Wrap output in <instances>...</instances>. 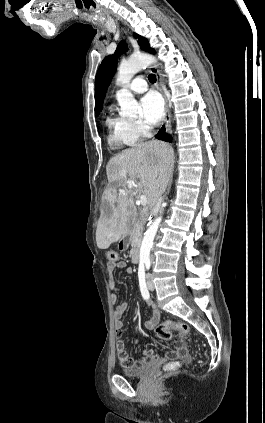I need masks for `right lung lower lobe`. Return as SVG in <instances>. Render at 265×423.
<instances>
[{"label":"right lung lower lobe","instance_id":"1","mask_svg":"<svg viewBox=\"0 0 265 423\" xmlns=\"http://www.w3.org/2000/svg\"><path fill=\"white\" fill-rule=\"evenodd\" d=\"M156 138L159 140H163L166 142H170L172 141V138L169 134L166 133L165 131V126L163 125L162 128L159 130V132L156 135Z\"/></svg>","mask_w":265,"mask_h":423}]
</instances>
